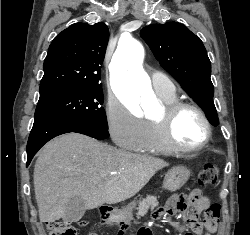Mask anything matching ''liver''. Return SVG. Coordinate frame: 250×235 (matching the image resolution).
Returning <instances> with one entry per match:
<instances>
[{
    "label": "liver",
    "mask_w": 250,
    "mask_h": 235,
    "mask_svg": "<svg viewBox=\"0 0 250 235\" xmlns=\"http://www.w3.org/2000/svg\"><path fill=\"white\" fill-rule=\"evenodd\" d=\"M168 163L116 149L79 133L54 138L34 167V191L41 222L63 218L75 197L86 209L115 204L136 195Z\"/></svg>",
    "instance_id": "1"
}]
</instances>
